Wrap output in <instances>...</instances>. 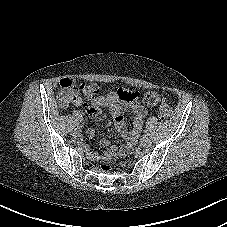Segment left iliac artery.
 Segmentation results:
<instances>
[{"mask_svg":"<svg viewBox=\"0 0 227 227\" xmlns=\"http://www.w3.org/2000/svg\"><path fill=\"white\" fill-rule=\"evenodd\" d=\"M146 135L149 136V133L147 131H145Z\"/></svg>","mask_w":227,"mask_h":227,"instance_id":"1","label":"left iliac artery"}]
</instances>
